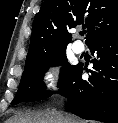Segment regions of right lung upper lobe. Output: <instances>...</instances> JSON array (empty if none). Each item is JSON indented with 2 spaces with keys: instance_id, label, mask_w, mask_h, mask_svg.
Returning a JSON list of instances; mask_svg holds the SVG:
<instances>
[{
  "instance_id": "right-lung-upper-lobe-1",
  "label": "right lung upper lobe",
  "mask_w": 118,
  "mask_h": 123,
  "mask_svg": "<svg viewBox=\"0 0 118 123\" xmlns=\"http://www.w3.org/2000/svg\"><path fill=\"white\" fill-rule=\"evenodd\" d=\"M76 26L88 29V46L118 32V0H45L33 21L25 67L66 49L68 30Z\"/></svg>"
}]
</instances>
